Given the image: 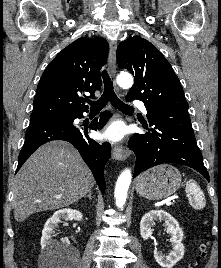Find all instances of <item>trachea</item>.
<instances>
[{"instance_id":"trachea-1","label":"trachea","mask_w":221,"mask_h":268,"mask_svg":"<svg viewBox=\"0 0 221 268\" xmlns=\"http://www.w3.org/2000/svg\"><path fill=\"white\" fill-rule=\"evenodd\" d=\"M104 92L97 101L86 100L91 106L92 110L103 109L108 101L120 111H133V107L123 103L115 94L113 90V83L106 70L103 72Z\"/></svg>"}]
</instances>
